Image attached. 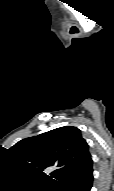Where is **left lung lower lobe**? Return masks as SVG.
Here are the masks:
<instances>
[{"mask_svg": "<svg viewBox=\"0 0 114 191\" xmlns=\"http://www.w3.org/2000/svg\"><path fill=\"white\" fill-rule=\"evenodd\" d=\"M92 164L90 158L60 191H90L93 183Z\"/></svg>", "mask_w": 114, "mask_h": 191, "instance_id": "0a47b994", "label": "left lung lower lobe"}]
</instances>
